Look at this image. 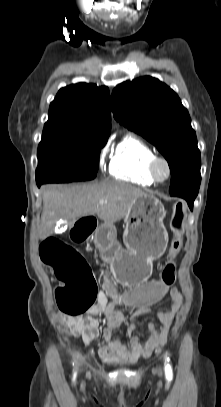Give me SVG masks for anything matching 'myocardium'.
Wrapping results in <instances>:
<instances>
[{
  "label": "myocardium",
  "mask_w": 221,
  "mask_h": 407,
  "mask_svg": "<svg viewBox=\"0 0 221 407\" xmlns=\"http://www.w3.org/2000/svg\"><path fill=\"white\" fill-rule=\"evenodd\" d=\"M163 164L166 168V176L161 178L158 174V166ZM148 171L152 179L157 183H164L168 181L172 175V168L170 162L162 156H155L149 163Z\"/></svg>",
  "instance_id": "myocardium-1"
}]
</instances>
